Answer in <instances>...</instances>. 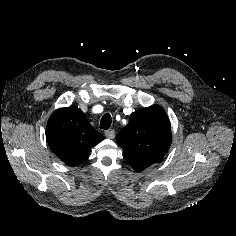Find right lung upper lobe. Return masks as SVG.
I'll return each mask as SVG.
<instances>
[{
    "label": "right lung upper lobe",
    "mask_w": 236,
    "mask_h": 236,
    "mask_svg": "<svg viewBox=\"0 0 236 236\" xmlns=\"http://www.w3.org/2000/svg\"><path fill=\"white\" fill-rule=\"evenodd\" d=\"M46 138L52 151L69 166L82 163L91 148L103 140L102 134L75 106L60 108L50 116Z\"/></svg>",
    "instance_id": "1"
}]
</instances>
